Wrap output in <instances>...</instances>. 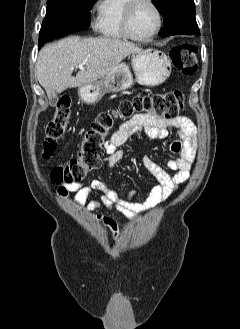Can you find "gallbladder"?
Returning <instances> with one entry per match:
<instances>
[{"mask_svg":"<svg viewBox=\"0 0 240 329\" xmlns=\"http://www.w3.org/2000/svg\"><path fill=\"white\" fill-rule=\"evenodd\" d=\"M56 101H57V96L52 97L50 100L51 105H55Z\"/></svg>","mask_w":240,"mask_h":329,"instance_id":"obj_1","label":"gallbladder"}]
</instances>
